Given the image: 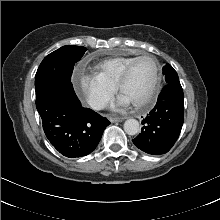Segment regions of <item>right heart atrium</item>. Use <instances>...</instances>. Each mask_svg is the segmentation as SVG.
Returning <instances> with one entry per match:
<instances>
[{
  "mask_svg": "<svg viewBox=\"0 0 220 220\" xmlns=\"http://www.w3.org/2000/svg\"><path fill=\"white\" fill-rule=\"evenodd\" d=\"M75 90L94 110H101L112 100L116 87L97 75L76 73L73 77Z\"/></svg>",
  "mask_w": 220,
  "mask_h": 220,
  "instance_id": "1",
  "label": "right heart atrium"
}]
</instances>
